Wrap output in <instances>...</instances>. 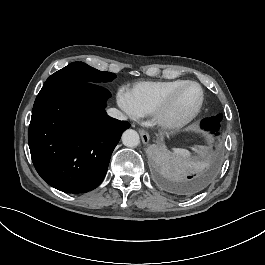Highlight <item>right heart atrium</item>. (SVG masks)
Here are the masks:
<instances>
[{
	"instance_id": "d8ad5b80",
	"label": "right heart atrium",
	"mask_w": 265,
	"mask_h": 265,
	"mask_svg": "<svg viewBox=\"0 0 265 265\" xmlns=\"http://www.w3.org/2000/svg\"><path fill=\"white\" fill-rule=\"evenodd\" d=\"M116 98L124 119L129 124H136L140 120V113L132 101L131 91L127 87H120L116 91Z\"/></svg>"
}]
</instances>
